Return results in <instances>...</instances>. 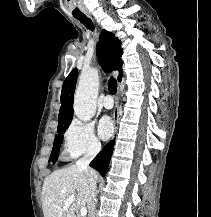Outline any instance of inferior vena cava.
Here are the masks:
<instances>
[{"label":"inferior vena cava","mask_w":211,"mask_h":217,"mask_svg":"<svg viewBox=\"0 0 211 217\" xmlns=\"http://www.w3.org/2000/svg\"><path fill=\"white\" fill-rule=\"evenodd\" d=\"M100 144H94L85 154L84 157L80 158L76 165L79 169L83 170L88 179L89 184V194L91 199L89 217H95V205H96V178L94 177V172L89 168V164L96 154L100 151Z\"/></svg>","instance_id":"602c4592"}]
</instances>
